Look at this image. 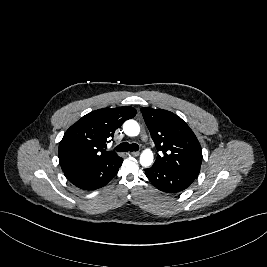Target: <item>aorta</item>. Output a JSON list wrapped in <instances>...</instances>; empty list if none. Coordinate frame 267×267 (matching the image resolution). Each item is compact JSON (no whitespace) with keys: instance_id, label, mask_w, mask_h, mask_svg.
Segmentation results:
<instances>
[{"instance_id":"obj_1","label":"aorta","mask_w":267,"mask_h":267,"mask_svg":"<svg viewBox=\"0 0 267 267\" xmlns=\"http://www.w3.org/2000/svg\"><path fill=\"white\" fill-rule=\"evenodd\" d=\"M123 130L128 136H137L140 133V126L135 120H127L123 124ZM153 152L150 149H145L140 155V164L144 167H149L153 163Z\"/></svg>"}]
</instances>
